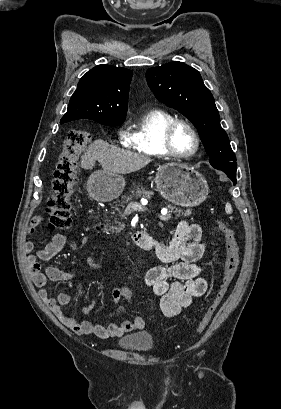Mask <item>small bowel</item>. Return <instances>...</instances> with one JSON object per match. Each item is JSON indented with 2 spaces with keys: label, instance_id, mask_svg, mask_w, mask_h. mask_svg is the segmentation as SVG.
Returning <instances> with one entry per match:
<instances>
[{
  "label": "small bowel",
  "instance_id": "1",
  "mask_svg": "<svg viewBox=\"0 0 281 409\" xmlns=\"http://www.w3.org/2000/svg\"><path fill=\"white\" fill-rule=\"evenodd\" d=\"M47 222V217L39 215L32 219L28 228L29 235H40V225ZM67 244L66 237L57 234L53 240L43 249L35 254L31 251L34 244L31 240L25 243V250L29 253L27 257L33 282L38 288V294L55 313L57 318L70 330L78 335H95L99 338L121 337L129 332L141 331L145 327L143 318L136 317L132 321L121 324H109L103 326L89 321H77L76 318L67 315L62 307L71 302V295L66 292L58 294L57 298L49 297L46 288L48 281L63 282L75 278L74 271H64L57 267H47L41 270L39 261H48L59 254ZM151 248L165 265L154 266L147 270L144 276L146 285L160 298V309L164 316L175 317L180 310L189 306L193 299L202 296L207 290V281L200 276L201 266L199 261L205 252L206 243L203 240L201 228L197 224L180 221L172 239L167 246L150 240ZM73 249L78 250L76 244H71ZM133 292L130 287H113L111 296L118 304L131 299ZM93 299L83 306L84 314L90 313L95 307Z\"/></svg>",
  "mask_w": 281,
  "mask_h": 409
}]
</instances>
